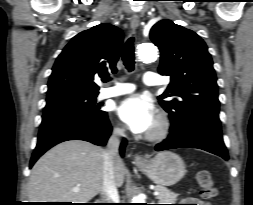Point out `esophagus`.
<instances>
[{
  "label": "esophagus",
  "mask_w": 253,
  "mask_h": 205,
  "mask_svg": "<svg viewBox=\"0 0 253 205\" xmlns=\"http://www.w3.org/2000/svg\"><path fill=\"white\" fill-rule=\"evenodd\" d=\"M139 23H140V19H139V16L138 15H133L131 18H130V25H131V28L133 30H136L139 26ZM133 162L135 164H142V163H145L146 162V159L145 157H143L142 155H139V154H135L134 157H133Z\"/></svg>",
  "instance_id": "34e87169"
}]
</instances>
